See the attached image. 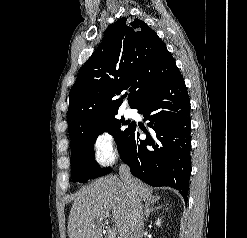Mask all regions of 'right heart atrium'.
Returning a JSON list of instances; mask_svg holds the SVG:
<instances>
[{"instance_id": "obj_1", "label": "right heart atrium", "mask_w": 247, "mask_h": 238, "mask_svg": "<svg viewBox=\"0 0 247 238\" xmlns=\"http://www.w3.org/2000/svg\"><path fill=\"white\" fill-rule=\"evenodd\" d=\"M92 153L95 163L106 168L118 157V149L114 135L107 129L99 131L92 143Z\"/></svg>"}]
</instances>
